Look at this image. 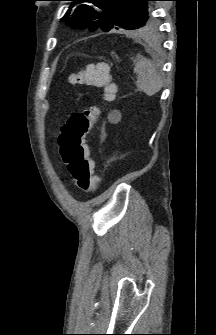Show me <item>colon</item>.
Listing matches in <instances>:
<instances>
[{
  "label": "colon",
  "instance_id": "5ec220e1",
  "mask_svg": "<svg viewBox=\"0 0 216 335\" xmlns=\"http://www.w3.org/2000/svg\"><path fill=\"white\" fill-rule=\"evenodd\" d=\"M74 80L103 89L107 102L115 98L119 89V83L112 78L110 67L106 63L85 66L74 75ZM100 113L101 108L98 106L75 112L62 126L58 136L62 161L77 186L85 192L96 190L101 181L94 173V161L86 144V137Z\"/></svg>",
  "mask_w": 216,
  "mask_h": 335
}]
</instances>
